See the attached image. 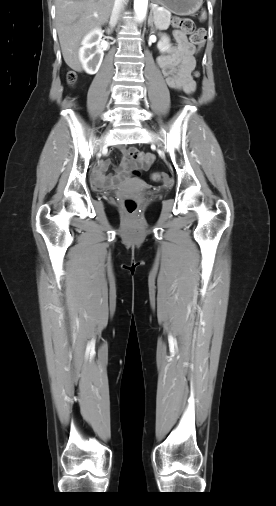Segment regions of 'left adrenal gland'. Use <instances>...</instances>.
Instances as JSON below:
<instances>
[{
    "instance_id": "obj_1",
    "label": "left adrenal gland",
    "mask_w": 276,
    "mask_h": 506,
    "mask_svg": "<svg viewBox=\"0 0 276 506\" xmlns=\"http://www.w3.org/2000/svg\"><path fill=\"white\" fill-rule=\"evenodd\" d=\"M153 12H154V8L152 7V9L150 11L149 19H148V25L151 27V32L152 33H153V30H154Z\"/></svg>"
}]
</instances>
